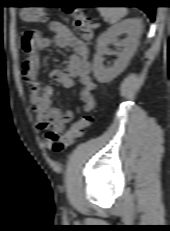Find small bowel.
I'll return each mask as SVG.
<instances>
[{
    "instance_id": "1",
    "label": "small bowel",
    "mask_w": 170,
    "mask_h": 231,
    "mask_svg": "<svg viewBox=\"0 0 170 231\" xmlns=\"http://www.w3.org/2000/svg\"><path fill=\"white\" fill-rule=\"evenodd\" d=\"M50 29L54 40L43 37L35 31H27L22 38V47L27 54L23 65V78L30 94L31 105L36 114V125L41 130H52L62 133L73 119V112H62L52 104L53 89L43 85L39 80L41 51L54 42L58 47L71 51L65 67L54 69L50 76L65 88H73L78 81L77 93L83 103L84 112H90L95 106L92 95L95 84L90 77V50L87 44L79 39L69 26L53 21Z\"/></svg>"
}]
</instances>
